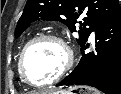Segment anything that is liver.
<instances>
[{"label": "liver", "instance_id": "1", "mask_svg": "<svg viewBox=\"0 0 121 94\" xmlns=\"http://www.w3.org/2000/svg\"><path fill=\"white\" fill-rule=\"evenodd\" d=\"M54 93V91H41V92H36L34 94H51Z\"/></svg>", "mask_w": 121, "mask_h": 94}]
</instances>
